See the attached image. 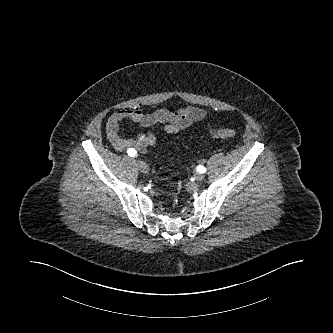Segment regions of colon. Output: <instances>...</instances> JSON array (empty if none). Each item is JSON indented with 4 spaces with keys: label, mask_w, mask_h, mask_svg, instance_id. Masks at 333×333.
I'll return each mask as SVG.
<instances>
[{
    "label": "colon",
    "mask_w": 333,
    "mask_h": 333,
    "mask_svg": "<svg viewBox=\"0 0 333 333\" xmlns=\"http://www.w3.org/2000/svg\"><path fill=\"white\" fill-rule=\"evenodd\" d=\"M211 136L221 139H232L236 136V132L231 128H217L210 132Z\"/></svg>",
    "instance_id": "1"
}]
</instances>
